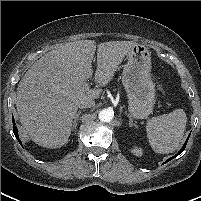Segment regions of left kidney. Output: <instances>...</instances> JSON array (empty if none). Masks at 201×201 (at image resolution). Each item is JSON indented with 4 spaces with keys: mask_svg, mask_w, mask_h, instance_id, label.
<instances>
[{
    "mask_svg": "<svg viewBox=\"0 0 201 201\" xmlns=\"http://www.w3.org/2000/svg\"><path fill=\"white\" fill-rule=\"evenodd\" d=\"M131 152L135 155V156H141L142 155V149L138 148V147H134L133 149H131Z\"/></svg>",
    "mask_w": 201,
    "mask_h": 201,
    "instance_id": "5707ae66",
    "label": "left kidney"
}]
</instances>
